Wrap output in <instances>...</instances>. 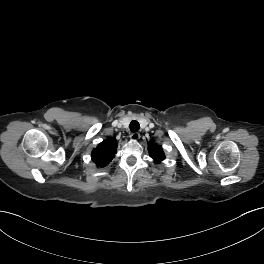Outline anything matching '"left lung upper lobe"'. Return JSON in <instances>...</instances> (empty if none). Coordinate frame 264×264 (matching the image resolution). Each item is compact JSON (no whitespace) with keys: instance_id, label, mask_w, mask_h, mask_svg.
Wrapping results in <instances>:
<instances>
[{"instance_id":"left-lung-upper-lobe-1","label":"left lung upper lobe","mask_w":264,"mask_h":264,"mask_svg":"<svg viewBox=\"0 0 264 264\" xmlns=\"http://www.w3.org/2000/svg\"><path fill=\"white\" fill-rule=\"evenodd\" d=\"M149 152H150V156L156 161V162H160L162 161L165 156L164 153L161 149V147H159L156 144H150L149 145Z\"/></svg>"}]
</instances>
